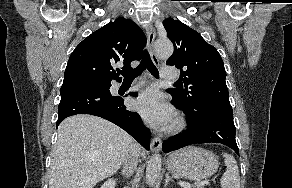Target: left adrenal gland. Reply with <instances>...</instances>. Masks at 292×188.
Returning <instances> with one entry per match:
<instances>
[{"instance_id": "left-adrenal-gland-1", "label": "left adrenal gland", "mask_w": 292, "mask_h": 188, "mask_svg": "<svg viewBox=\"0 0 292 188\" xmlns=\"http://www.w3.org/2000/svg\"><path fill=\"white\" fill-rule=\"evenodd\" d=\"M169 181H173V179L169 176V173L165 174V187H167Z\"/></svg>"}]
</instances>
